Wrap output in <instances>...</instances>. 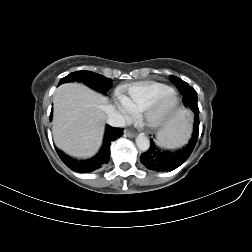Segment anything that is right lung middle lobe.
<instances>
[{"instance_id": "1", "label": "right lung middle lobe", "mask_w": 252, "mask_h": 252, "mask_svg": "<svg viewBox=\"0 0 252 252\" xmlns=\"http://www.w3.org/2000/svg\"><path fill=\"white\" fill-rule=\"evenodd\" d=\"M73 81L82 82L93 89L101 91L104 94H106V92L112 86L111 79L91 71H76L70 73L62 78L58 85Z\"/></svg>"}]
</instances>
